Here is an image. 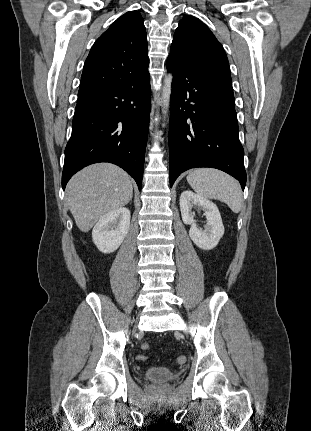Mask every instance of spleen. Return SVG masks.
Wrapping results in <instances>:
<instances>
[{
    "label": "spleen",
    "mask_w": 311,
    "mask_h": 431,
    "mask_svg": "<svg viewBox=\"0 0 311 431\" xmlns=\"http://www.w3.org/2000/svg\"><path fill=\"white\" fill-rule=\"evenodd\" d=\"M194 192L207 200H220L229 206L234 214H239L242 208L241 188L231 176L213 170V168H196L186 178Z\"/></svg>",
    "instance_id": "3e777b00"
}]
</instances>
